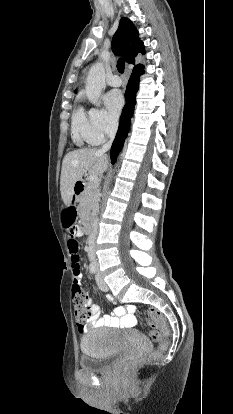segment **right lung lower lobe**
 <instances>
[{"label": "right lung lower lobe", "mask_w": 233, "mask_h": 414, "mask_svg": "<svg viewBox=\"0 0 233 414\" xmlns=\"http://www.w3.org/2000/svg\"><path fill=\"white\" fill-rule=\"evenodd\" d=\"M143 73L144 71L141 68L139 70H134L130 76L125 92L126 105L122 110L118 132L111 147L110 157L112 163L116 161V157L119 154L127 137L130 128V118L134 111V105L136 104V92L139 88V77Z\"/></svg>", "instance_id": "right-lung-lower-lobe-1"}]
</instances>
